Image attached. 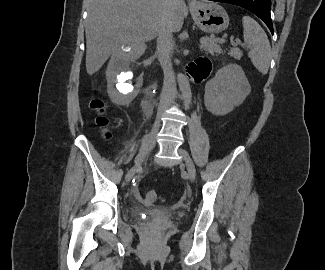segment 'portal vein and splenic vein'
Returning <instances> with one entry per match:
<instances>
[{"instance_id":"obj_1","label":"portal vein and splenic vein","mask_w":325,"mask_h":270,"mask_svg":"<svg viewBox=\"0 0 325 270\" xmlns=\"http://www.w3.org/2000/svg\"><path fill=\"white\" fill-rule=\"evenodd\" d=\"M208 40H209V39L203 38V39L201 40V47H205V46H207V45H208V43H207ZM215 41H216V42H225L224 39H216ZM230 42H231V44L234 45V46H236V45H238V44L241 43V41H240L239 39H236V40L231 39Z\"/></svg>"}]
</instances>
